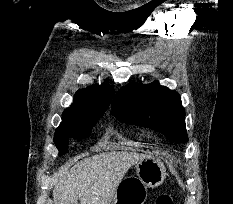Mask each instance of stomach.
Wrapping results in <instances>:
<instances>
[{
    "label": "stomach",
    "mask_w": 233,
    "mask_h": 204,
    "mask_svg": "<svg viewBox=\"0 0 233 204\" xmlns=\"http://www.w3.org/2000/svg\"><path fill=\"white\" fill-rule=\"evenodd\" d=\"M136 177L122 180L110 204H144L147 188L160 186L166 178L165 165L157 158L145 156L136 165Z\"/></svg>",
    "instance_id": "obj_1"
}]
</instances>
